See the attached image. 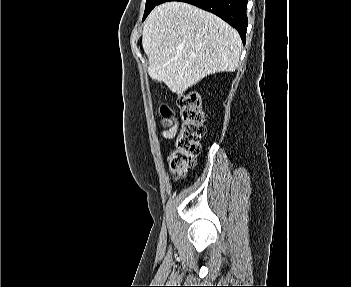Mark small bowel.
I'll use <instances>...</instances> for the list:
<instances>
[{"mask_svg":"<svg viewBox=\"0 0 351 287\" xmlns=\"http://www.w3.org/2000/svg\"><path fill=\"white\" fill-rule=\"evenodd\" d=\"M177 130H178V123L175 119H172L171 122L169 123V127L166 129H163L160 134L165 139H171L176 135Z\"/></svg>","mask_w":351,"mask_h":287,"instance_id":"1","label":"small bowel"}]
</instances>
